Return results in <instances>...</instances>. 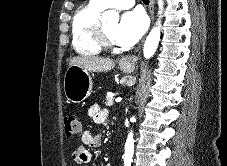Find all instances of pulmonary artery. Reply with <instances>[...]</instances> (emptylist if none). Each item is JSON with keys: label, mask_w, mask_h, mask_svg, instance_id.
Here are the masks:
<instances>
[{"label": "pulmonary artery", "mask_w": 227, "mask_h": 166, "mask_svg": "<svg viewBox=\"0 0 227 166\" xmlns=\"http://www.w3.org/2000/svg\"><path fill=\"white\" fill-rule=\"evenodd\" d=\"M102 7H113L116 9H128L135 5V0H93Z\"/></svg>", "instance_id": "pulmonary-artery-1"}]
</instances>
